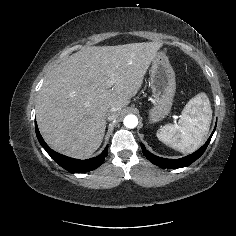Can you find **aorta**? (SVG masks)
I'll use <instances>...</instances> for the list:
<instances>
[{
  "label": "aorta",
  "instance_id": "obj_1",
  "mask_svg": "<svg viewBox=\"0 0 236 236\" xmlns=\"http://www.w3.org/2000/svg\"><path fill=\"white\" fill-rule=\"evenodd\" d=\"M123 123L125 127L133 129L138 124V118L135 115L130 114L124 118Z\"/></svg>",
  "mask_w": 236,
  "mask_h": 236
}]
</instances>
